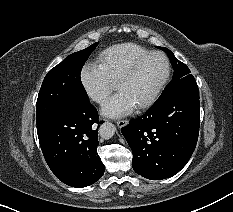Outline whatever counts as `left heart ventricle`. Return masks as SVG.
Here are the masks:
<instances>
[{"label": "left heart ventricle", "mask_w": 233, "mask_h": 212, "mask_svg": "<svg viewBox=\"0 0 233 212\" xmlns=\"http://www.w3.org/2000/svg\"><path fill=\"white\" fill-rule=\"evenodd\" d=\"M165 74V62L159 56L145 60L136 73L117 89L124 92L135 107L147 100L155 91Z\"/></svg>", "instance_id": "obj_1"}]
</instances>
